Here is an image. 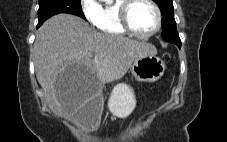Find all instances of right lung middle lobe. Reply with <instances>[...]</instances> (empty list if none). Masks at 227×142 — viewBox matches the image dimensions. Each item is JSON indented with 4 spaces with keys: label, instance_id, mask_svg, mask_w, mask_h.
I'll return each instance as SVG.
<instances>
[{
    "label": "right lung middle lobe",
    "instance_id": "obj_1",
    "mask_svg": "<svg viewBox=\"0 0 227 142\" xmlns=\"http://www.w3.org/2000/svg\"><path fill=\"white\" fill-rule=\"evenodd\" d=\"M59 13H69L85 19L81 0H39L38 24Z\"/></svg>",
    "mask_w": 227,
    "mask_h": 142
}]
</instances>
